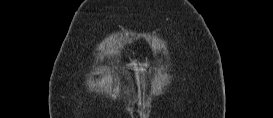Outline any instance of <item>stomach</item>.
Returning a JSON list of instances; mask_svg holds the SVG:
<instances>
[{
	"label": "stomach",
	"mask_w": 273,
	"mask_h": 118,
	"mask_svg": "<svg viewBox=\"0 0 273 118\" xmlns=\"http://www.w3.org/2000/svg\"><path fill=\"white\" fill-rule=\"evenodd\" d=\"M146 66H148L147 62L144 64H139V67L135 63L131 64V68L136 72L143 71L144 67H146Z\"/></svg>",
	"instance_id": "1"
}]
</instances>
